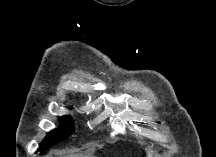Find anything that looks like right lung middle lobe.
Returning <instances> with one entry per match:
<instances>
[{
	"mask_svg": "<svg viewBox=\"0 0 216 157\" xmlns=\"http://www.w3.org/2000/svg\"><path fill=\"white\" fill-rule=\"evenodd\" d=\"M72 121L68 116H63L61 118V125L58 129L49 132L45 140L40 144L39 151H44L48 147L65 140L70 136L72 131Z\"/></svg>",
	"mask_w": 216,
	"mask_h": 157,
	"instance_id": "1",
	"label": "right lung middle lobe"
}]
</instances>
